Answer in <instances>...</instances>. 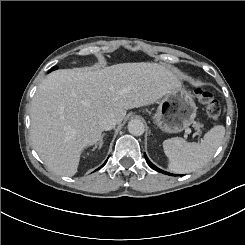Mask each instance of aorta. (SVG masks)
Listing matches in <instances>:
<instances>
[{"instance_id":"aorta-1","label":"aorta","mask_w":245,"mask_h":245,"mask_svg":"<svg viewBox=\"0 0 245 245\" xmlns=\"http://www.w3.org/2000/svg\"><path fill=\"white\" fill-rule=\"evenodd\" d=\"M128 131L134 136H141L145 131V126L142 121L133 119L128 123Z\"/></svg>"}]
</instances>
